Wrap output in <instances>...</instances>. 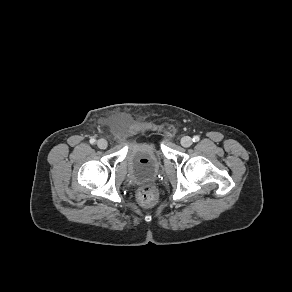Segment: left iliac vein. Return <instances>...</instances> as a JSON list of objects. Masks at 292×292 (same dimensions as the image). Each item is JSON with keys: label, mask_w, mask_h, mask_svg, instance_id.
<instances>
[{"label": "left iliac vein", "mask_w": 292, "mask_h": 292, "mask_svg": "<svg viewBox=\"0 0 292 292\" xmlns=\"http://www.w3.org/2000/svg\"><path fill=\"white\" fill-rule=\"evenodd\" d=\"M181 145L185 148L189 147L192 145V138L189 137V136H184L182 139H181Z\"/></svg>", "instance_id": "4c4485c4"}]
</instances>
